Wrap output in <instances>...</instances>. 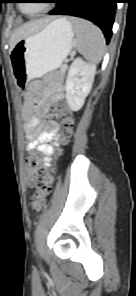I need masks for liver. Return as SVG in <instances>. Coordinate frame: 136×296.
<instances>
[{
	"label": "liver",
	"instance_id": "6515ba94",
	"mask_svg": "<svg viewBox=\"0 0 136 296\" xmlns=\"http://www.w3.org/2000/svg\"><path fill=\"white\" fill-rule=\"evenodd\" d=\"M50 18L32 20L28 23L23 24L21 27L16 29L10 38V48L13 49L15 44L21 39L38 32L45 25L49 23Z\"/></svg>",
	"mask_w": 136,
	"mask_h": 296
}]
</instances>
